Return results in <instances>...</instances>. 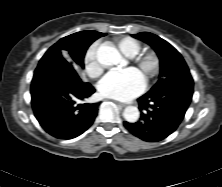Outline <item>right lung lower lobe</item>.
Wrapping results in <instances>:
<instances>
[{
	"label": "right lung lower lobe",
	"mask_w": 222,
	"mask_h": 187,
	"mask_svg": "<svg viewBox=\"0 0 222 187\" xmlns=\"http://www.w3.org/2000/svg\"><path fill=\"white\" fill-rule=\"evenodd\" d=\"M94 92L62 56L44 55L31 84L34 115L53 137L75 138L85 132L97 116L99 103H81Z\"/></svg>",
	"instance_id": "right-lung-lower-lobe-1"
}]
</instances>
